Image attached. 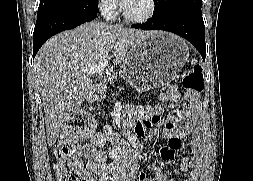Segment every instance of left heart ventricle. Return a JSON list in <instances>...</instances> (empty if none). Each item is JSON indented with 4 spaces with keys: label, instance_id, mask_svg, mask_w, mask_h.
I'll return each mask as SVG.
<instances>
[{
    "label": "left heart ventricle",
    "instance_id": "1",
    "mask_svg": "<svg viewBox=\"0 0 253 181\" xmlns=\"http://www.w3.org/2000/svg\"><path fill=\"white\" fill-rule=\"evenodd\" d=\"M149 8V0H132L125 10L134 16L144 15Z\"/></svg>",
    "mask_w": 253,
    "mask_h": 181
}]
</instances>
